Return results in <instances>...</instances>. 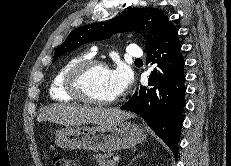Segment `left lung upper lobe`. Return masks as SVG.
Here are the masks:
<instances>
[{"mask_svg": "<svg viewBox=\"0 0 231 166\" xmlns=\"http://www.w3.org/2000/svg\"><path fill=\"white\" fill-rule=\"evenodd\" d=\"M172 27L168 16L155 8H134L105 22L92 23L73 30L63 44L57 47L53 61L85 43L107 39L112 33L134 31L146 39L145 46L151 49Z\"/></svg>", "mask_w": 231, "mask_h": 166, "instance_id": "5c2ea615", "label": "left lung upper lobe"}]
</instances>
